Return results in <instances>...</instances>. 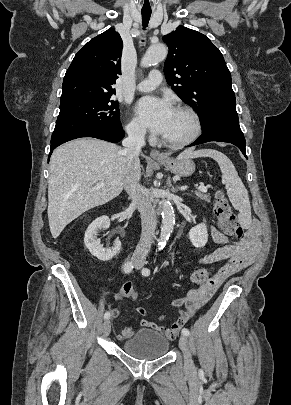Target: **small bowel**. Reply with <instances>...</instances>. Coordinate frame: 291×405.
Returning a JSON list of instances; mask_svg holds the SVG:
<instances>
[{"label":"small bowel","instance_id":"small-bowel-1","mask_svg":"<svg viewBox=\"0 0 291 405\" xmlns=\"http://www.w3.org/2000/svg\"><path fill=\"white\" fill-rule=\"evenodd\" d=\"M260 231L259 223L253 221L247 226L246 235L243 240L235 244H227V236L215 227H211L210 233L212 240L214 243L220 245V247L202 257L199 263L212 264L226 261L225 265L208 282L201 284L198 288L190 289L186 297L178 298L173 301L172 304L174 307L181 308L185 306L187 311L181 312L178 319L170 327L161 326L146 319H141L140 325L151 327L169 340L174 339L181 327L188 322L198 309L208 302L227 278L243 270L253 262L261 248ZM136 312L139 316H146V310L144 308H137ZM111 316L112 318H117L119 316V310L115 308L112 309ZM134 331L133 327H126L118 333L116 337L118 340H125L131 337Z\"/></svg>","mask_w":291,"mask_h":405}]
</instances>
